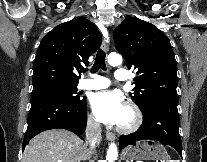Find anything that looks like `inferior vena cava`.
<instances>
[{"label": "inferior vena cava", "instance_id": "inferior-vena-cava-1", "mask_svg": "<svg viewBox=\"0 0 207 162\" xmlns=\"http://www.w3.org/2000/svg\"><path fill=\"white\" fill-rule=\"evenodd\" d=\"M101 126L93 119H88L86 126V144L89 147V153H92L96 148V145L101 142Z\"/></svg>", "mask_w": 207, "mask_h": 162}]
</instances>
